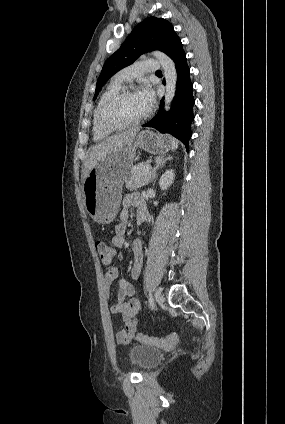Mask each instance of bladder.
I'll return each instance as SVG.
<instances>
[{
	"label": "bladder",
	"instance_id": "bladder-1",
	"mask_svg": "<svg viewBox=\"0 0 285 424\" xmlns=\"http://www.w3.org/2000/svg\"><path fill=\"white\" fill-rule=\"evenodd\" d=\"M131 364L142 370H148L160 363L163 352L155 347L141 344H134L128 350Z\"/></svg>",
	"mask_w": 285,
	"mask_h": 424
}]
</instances>
